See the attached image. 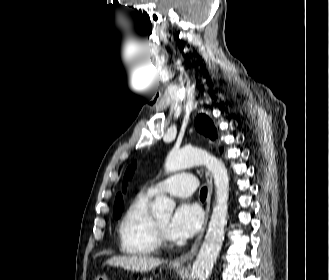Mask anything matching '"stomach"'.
<instances>
[{
	"label": "stomach",
	"mask_w": 329,
	"mask_h": 280,
	"mask_svg": "<svg viewBox=\"0 0 329 280\" xmlns=\"http://www.w3.org/2000/svg\"><path fill=\"white\" fill-rule=\"evenodd\" d=\"M173 268H178V266H173ZM95 280H108L105 275H99Z\"/></svg>",
	"instance_id": "0dacf381"
}]
</instances>
